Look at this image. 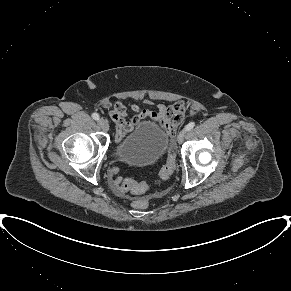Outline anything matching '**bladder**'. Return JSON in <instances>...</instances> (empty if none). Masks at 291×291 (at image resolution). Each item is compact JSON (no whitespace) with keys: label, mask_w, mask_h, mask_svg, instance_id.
Segmentation results:
<instances>
[{"label":"bladder","mask_w":291,"mask_h":291,"mask_svg":"<svg viewBox=\"0 0 291 291\" xmlns=\"http://www.w3.org/2000/svg\"><path fill=\"white\" fill-rule=\"evenodd\" d=\"M169 148L167 133L150 121L139 123L115 147L114 156L130 166H148L161 159Z\"/></svg>","instance_id":"bladder-1"}]
</instances>
